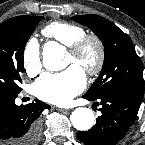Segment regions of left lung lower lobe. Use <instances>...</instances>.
<instances>
[{"label":"left lung lower lobe","instance_id":"0a47b994","mask_svg":"<svg viewBox=\"0 0 145 145\" xmlns=\"http://www.w3.org/2000/svg\"><path fill=\"white\" fill-rule=\"evenodd\" d=\"M90 101L99 100L102 116L88 131L78 132V139L86 145H115L127 133L137 116L141 101L128 94H111L100 98L84 95Z\"/></svg>","mask_w":145,"mask_h":145}]
</instances>
